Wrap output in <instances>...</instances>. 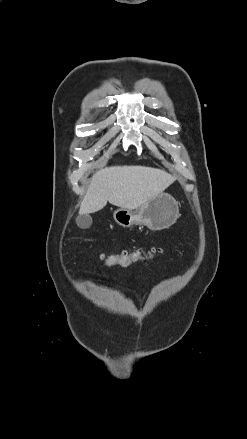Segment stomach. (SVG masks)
I'll use <instances>...</instances> for the list:
<instances>
[{
    "label": "stomach",
    "instance_id": "stomach-1",
    "mask_svg": "<svg viewBox=\"0 0 247 439\" xmlns=\"http://www.w3.org/2000/svg\"><path fill=\"white\" fill-rule=\"evenodd\" d=\"M179 215V206L175 198L168 193L140 205L136 210L119 208L113 213L114 220L123 227L145 225L152 231H159L174 224Z\"/></svg>",
    "mask_w": 247,
    "mask_h": 439
}]
</instances>
